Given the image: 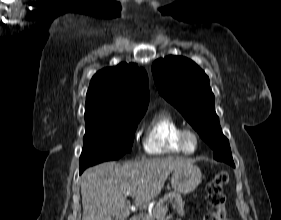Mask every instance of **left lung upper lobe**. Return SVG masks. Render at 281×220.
Returning <instances> with one entry per match:
<instances>
[{"instance_id":"left-lung-upper-lobe-1","label":"left lung upper lobe","mask_w":281,"mask_h":220,"mask_svg":"<svg viewBox=\"0 0 281 220\" xmlns=\"http://www.w3.org/2000/svg\"><path fill=\"white\" fill-rule=\"evenodd\" d=\"M152 73L159 93L186 118L214 150V158L234 166L229 141L215 113L209 78L188 58L168 56L156 60Z\"/></svg>"}]
</instances>
